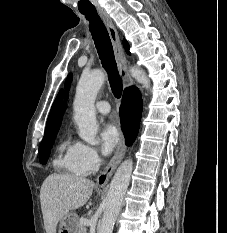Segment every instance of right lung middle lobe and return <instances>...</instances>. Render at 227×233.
<instances>
[{
  "label": "right lung middle lobe",
  "instance_id": "1",
  "mask_svg": "<svg viewBox=\"0 0 227 233\" xmlns=\"http://www.w3.org/2000/svg\"><path fill=\"white\" fill-rule=\"evenodd\" d=\"M56 136H53L49 139H45L42 141L41 143V147H40V163L41 164H46L48 157L50 155V150L52 148V145L54 143Z\"/></svg>",
  "mask_w": 227,
  "mask_h": 233
}]
</instances>
